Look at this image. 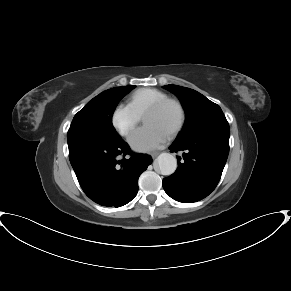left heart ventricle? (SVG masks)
<instances>
[{
    "mask_svg": "<svg viewBox=\"0 0 291 291\" xmlns=\"http://www.w3.org/2000/svg\"><path fill=\"white\" fill-rule=\"evenodd\" d=\"M177 121L178 112L173 105H167L162 110L148 113L144 117L145 124H151L167 133H170Z\"/></svg>",
    "mask_w": 291,
    "mask_h": 291,
    "instance_id": "obj_1",
    "label": "left heart ventricle"
}]
</instances>
